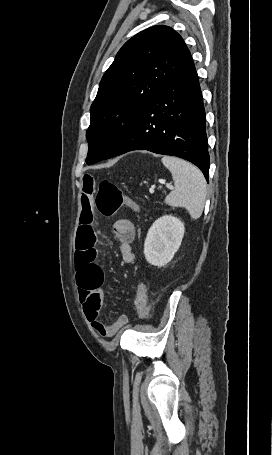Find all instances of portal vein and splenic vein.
Listing matches in <instances>:
<instances>
[{
	"label": "portal vein and splenic vein",
	"mask_w": 272,
	"mask_h": 455,
	"mask_svg": "<svg viewBox=\"0 0 272 455\" xmlns=\"http://www.w3.org/2000/svg\"><path fill=\"white\" fill-rule=\"evenodd\" d=\"M166 187H167L168 189H172V188H173L172 184H166Z\"/></svg>",
	"instance_id": "1"
}]
</instances>
